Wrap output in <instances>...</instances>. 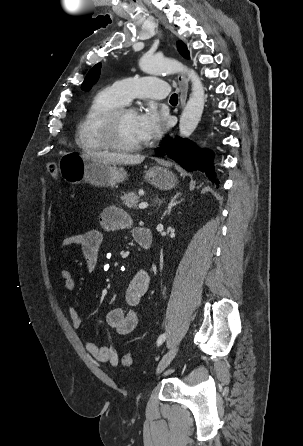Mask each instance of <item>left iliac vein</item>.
Instances as JSON below:
<instances>
[{
  "mask_svg": "<svg viewBox=\"0 0 303 446\" xmlns=\"http://www.w3.org/2000/svg\"><path fill=\"white\" fill-rule=\"evenodd\" d=\"M178 352V347L171 348L159 361L156 372L161 373L174 359Z\"/></svg>",
  "mask_w": 303,
  "mask_h": 446,
  "instance_id": "1",
  "label": "left iliac vein"
}]
</instances>
